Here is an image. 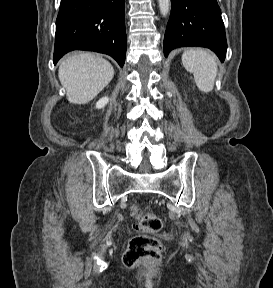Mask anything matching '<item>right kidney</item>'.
I'll return each instance as SVG.
<instances>
[{"label":"right kidney","mask_w":273,"mask_h":288,"mask_svg":"<svg viewBox=\"0 0 273 288\" xmlns=\"http://www.w3.org/2000/svg\"><path fill=\"white\" fill-rule=\"evenodd\" d=\"M109 99L108 97H102L97 103H96V108L101 109L106 106L108 103Z\"/></svg>","instance_id":"right-kidney-1"}]
</instances>
